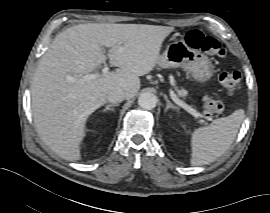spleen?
Returning <instances> with one entry per match:
<instances>
[{
	"instance_id": "3e777b00",
	"label": "spleen",
	"mask_w": 270,
	"mask_h": 213,
	"mask_svg": "<svg viewBox=\"0 0 270 213\" xmlns=\"http://www.w3.org/2000/svg\"><path fill=\"white\" fill-rule=\"evenodd\" d=\"M244 118V110L214 120L191 134V165L200 166L215 161L233 143Z\"/></svg>"
}]
</instances>
